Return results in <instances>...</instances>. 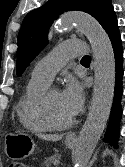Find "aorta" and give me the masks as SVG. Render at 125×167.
I'll use <instances>...</instances> for the list:
<instances>
[{
	"label": "aorta",
	"mask_w": 125,
	"mask_h": 167,
	"mask_svg": "<svg viewBox=\"0 0 125 167\" xmlns=\"http://www.w3.org/2000/svg\"><path fill=\"white\" fill-rule=\"evenodd\" d=\"M72 26L87 37L94 56L93 98L73 154L75 167H87L109 118L115 88V58L107 33L93 17L80 12L64 14L55 32H64Z\"/></svg>",
	"instance_id": "762f6f07"
}]
</instances>
